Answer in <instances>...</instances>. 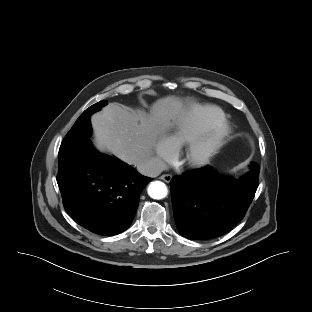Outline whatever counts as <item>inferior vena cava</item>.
Returning <instances> with one entry per match:
<instances>
[{
  "label": "inferior vena cava",
  "mask_w": 312,
  "mask_h": 312,
  "mask_svg": "<svg viewBox=\"0 0 312 312\" xmlns=\"http://www.w3.org/2000/svg\"><path fill=\"white\" fill-rule=\"evenodd\" d=\"M166 168L165 163L157 158L151 157L144 159L137 164V170L139 173L149 177H156Z\"/></svg>",
  "instance_id": "inferior-vena-cava-1"
}]
</instances>
